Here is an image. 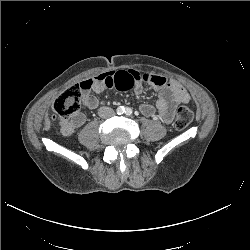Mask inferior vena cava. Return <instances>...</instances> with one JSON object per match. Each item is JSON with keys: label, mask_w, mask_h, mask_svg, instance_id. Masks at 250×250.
I'll return each mask as SVG.
<instances>
[{"label": "inferior vena cava", "mask_w": 250, "mask_h": 250, "mask_svg": "<svg viewBox=\"0 0 250 250\" xmlns=\"http://www.w3.org/2000/svg\"><path fill=\"white\" fill-rule=\"evenodd\" d=\"M98 114L102 118H109L114 116L115 112L112 108L103 106L99 108Z\"/></svg>", "instance_id": "inferior-vena-cava-1"}]
</instances>
